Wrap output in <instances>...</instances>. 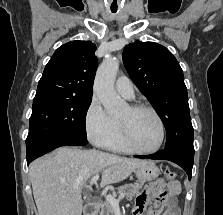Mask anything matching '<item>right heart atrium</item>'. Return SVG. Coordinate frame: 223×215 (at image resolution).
Here are the masks:
<instances>
[{
  "label": "right heart atrium",
  "mask_w": 223,
  "mask_h": 215,
  "mask_svg": "<svg viewBox=\"0 0 223 215\" xmlns=\"http://www.w3.org/2000/svg\"><path fill=\"white\" fill-rule=\"evenodd\" d=\"M118 127V121L106 113L99 100L93 98L85 113V129L89 138L103 145Z\"/></svg>",
  "instance_id": "d8ad5b80"
}]
</instances>
